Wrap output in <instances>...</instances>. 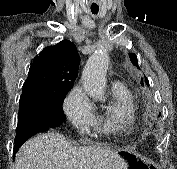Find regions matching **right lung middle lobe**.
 <instances>
[{"label":"right lung middle lobe","instance_id":"1","mask_svg":"<svg viewBox=\"0 0 177 169\" xmlns=\"http://www.w3.org/2000/svg\"><path fill=\"white\" fill-rule=\"evenodd\" d=\"M66 93L54 100L44 101L37 99H20L18 123L25 120H34L50 127L59 126L65 121L62 110Z\"/></svg>","mask_w":177,"mask_h":169}]
</instances>
